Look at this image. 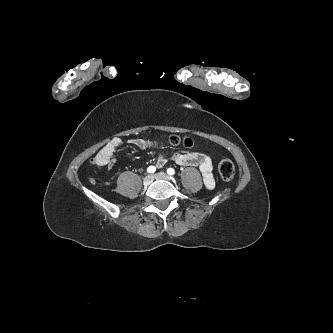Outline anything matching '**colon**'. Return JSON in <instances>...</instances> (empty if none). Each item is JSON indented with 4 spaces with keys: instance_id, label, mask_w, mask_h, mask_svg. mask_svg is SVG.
Wrapping results in <instances>:
<instances>
[{
    "instance_id": "obj_1",
    "label": "colon",
    "mask_w": 333,
    "mask_h": 333,
    "mask_svg": "<svg viewBox=\"0 0 333 333\" xmlns=\"http://www.w3.org/2000/svg\"><path fill=\"white\" fill-rule=\"evenodd\" d=\"M169 142L173 145L182 144L186 148H192L195 142L190 137H180L172 135L169 137ZM218 171L224 181H231L235 175V167L230 159H222L218 165Z\"/></svg>"
}]
</instances>
